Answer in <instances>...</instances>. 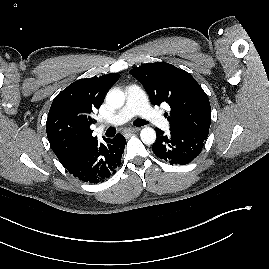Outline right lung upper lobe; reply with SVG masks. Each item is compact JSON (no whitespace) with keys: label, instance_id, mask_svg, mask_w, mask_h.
Listing matches in <instances>:
<instances>
[{"label":"right lung upper lobe","instance_id":"right-lung-upper-lobe-1","mask_svg":"<svg viewBox=\"0 0 269 269\" xmlns=\"http://www.w3.org/2000/svg\"><path fill=\"white\" fill-rule=\"evenodd\" d=\"M119 78V74L111 73L79 79L54 98L46 132L50 146L61 164L97 140L90 129L91 124L96 122L93 115L103 103L107 90Z\"/></svg>","mask_w":269,"mask_h":269}]
</instances>
